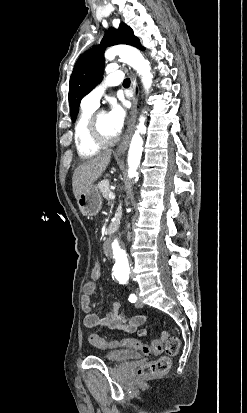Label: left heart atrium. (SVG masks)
Listing matches in <instances>:
<instances>
[{
  "label": "left heart atrium",
  "instance_id": "left-heart-atrium-1",
  "mask_svg": "<svg viewBox=\"0 0 247 413\" xmlns=\"http://www.w3.org/2000/svg\"><path fill=\"white\" fill-rule=\"evenodd\" d=\"M125 111L115 100H111L110 108L105 114V125L109 128L114 137H117L124 125ZM100 127V126H99Z\"/></svg>",
  "mask_w": 247,
  "mask_h": 413
}]
</instances>
